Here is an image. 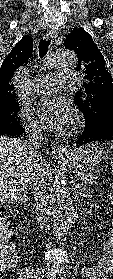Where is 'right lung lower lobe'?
Returning a JSON list of instances; mask_svg holds the SVG:
<instances>
[{
  "instance_id": "obj_1",
  "label": "right lung lower lobe",
  "mask_w": 113,
  "mask_h": 279,
  "mask_svg": "<svg viewBox=\"0 0 113 279\" xmlns=\"http://www.w3.org/2000/svg\"><path fill=\"white\" fill-rule=\"evenodd\" d=\"M24 132H25V129L17 128V129H12L10 131H7L1 135H7V136H11V137H20L23 135Z\"/></svg>"
}]
</instances>
